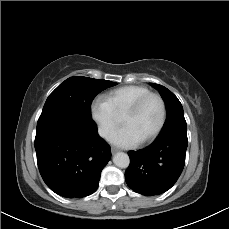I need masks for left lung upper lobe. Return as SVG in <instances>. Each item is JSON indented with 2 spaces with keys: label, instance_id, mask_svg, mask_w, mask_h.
<instances>
[{
  "label": "left lung upper lobe",
  "instance_id": "1",
  "mask_svg": "<svg viewBox=\"0 0 229 229\" xmlns=\"http://www.w3.org/2000/svg\"><path fill=\"white\" fill-rule=\"evenodd\" d=\"M150 84L159 91L165 102L167 110V118L159 137L164 136L178 128L186 129L187 125L184 118L183 108L178 98L164 86L155 83Z\"/></svg>",
  "mask_w": 229,
  "mask_h": 229
}]
</instances>
